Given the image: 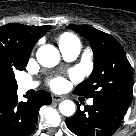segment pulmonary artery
<instances>
[{
  "mask_svg": "<svg viewBox=\"0 0 136 136\" xmlns=\"http://www.w3.org/2000/svg\"><path fill=\"white\" fill-rule=\"evenodd\" d=\"M80 45H69V46H60V51L62 53V56L65 60L67 61H73L75 60L78 55L80 54ZM37 87V83L36 82H32V81H25V82H21L19 84V89L22 92H26L28 90L34 89ZM89 105L93 104V100L90 99L88 101Z\"/></svg>",
  "mask_w": 136,
  "mask_h": 136,
  "instance_id": "1",
  "label": "pulmonary artery"
}]
</instances>
